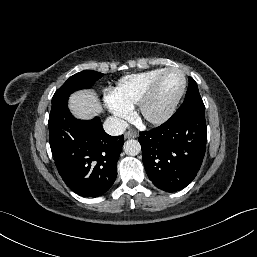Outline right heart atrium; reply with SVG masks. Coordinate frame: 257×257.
<instances>
[{"label":"right heart atrium","mask_w":257,"mask_h":257,"mask_svg":"<svg viewBox=\"0 0 257 257\" xmlns=\"http://www.w3.org/2000/svg\"><path fill=\"white\" fill-rule=\"evenodd\" d=\"M108 104L111 112L118 118L120 122L123 123L124 121L131 119V109L116 104L110 96L108 97Z\"/></svg>","instance_id":"1"}]
</instances>
